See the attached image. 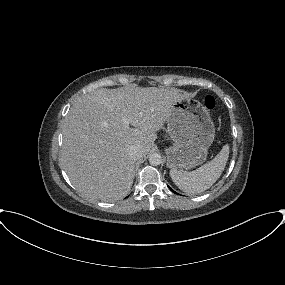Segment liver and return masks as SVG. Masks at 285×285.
Returning <instances> with one entry per match:
<instances>
[{
	"mask_svg": "<svg viewBox=\"0 0 285 285\" xmlns=\"http://www.w3.org/2000/svg\"><path fill=\"white\" fill-rule=\"evenodd\" d=\"M183 98L175 88L134 85L100 88L78 98L62 126L60 163L72 184L93 199L110 202L126 196L135 167L129 148L138 146L145 156L173 105Z\"/></svg>",
	"mask_w": 285,
	"mask_h": 285,
	"instance_id": "liver-1",
	"label": "liver"
}]
</instances>
